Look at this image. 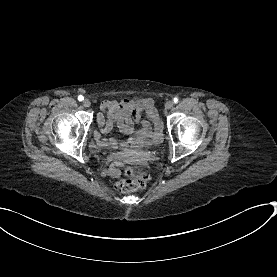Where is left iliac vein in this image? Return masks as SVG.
Returning <instances> with one entry per match:
<instances>
[{
	"label": "left iliac vein",
	"mask_w": 277,
	"mask_h": 277,
	"mask_svg": "<svg viewBox=\"0 0 277 277\" xmlns=\"http://www.w3.org/2000/svg\"><path fill=\"white\" fill-rule=\"evenodd\" d=\"M173 105H174V102L172 100H168L165 103V108L166 109H171L173 107Z\"/></svg>",
	"instance_id": "left-iliac-vein-1"
}]
</instances>
